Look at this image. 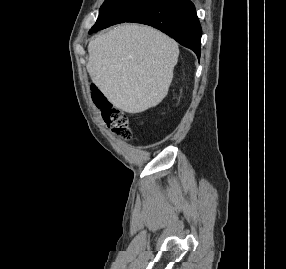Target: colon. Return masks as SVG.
Here are the masks:
<instances>
[{
	"mask_svg": "<svg viewBox=\"0 0 286 269\" xmlns=\"http://www.w3.org/2000/svg\"><path fill=\"white\" fill-rule=\"evenodd\" d=\"M92 100L101 111L102 119L106 125L109 126L115 134L129 139L131 137V131L129 129V119L127 115L113 106L100 91H94Z\"/></svg>",
	"mask_w": 286,
	"mask_h": 269,
	"instance_id": "obj_1",
	"label": "colon"
}]
</instances>
